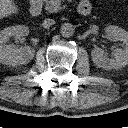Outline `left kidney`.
<instances>
[{"mask_svg":"<svg viewBox=\"0 0 128 128\" xmlns=\"http://www.w3.org/2000/svg\"><path fill=\"white\" fill-rule=\"evenodd\" d=\"M107 35L116 40L124 43V48H117L113 51V58L105 55L104 50L95 47L92 52V60L97 67L104 69H120L128 64V32L122 28L114 25L105 28Z\"/></svg>","mask_w":128,"mask_h":128,"instance_id":"5707ae66","label":"left kidney"}]
</instances>
